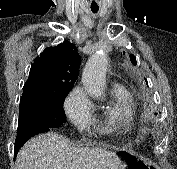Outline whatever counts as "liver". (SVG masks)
I'll return each instance as SVG.
<instances>
[{
	"label": "liver",
	"mask_w": 177,
	"mask_h": 169,
	"mask_svg": "<svg viewBox=\"0 0 177 169\" xmlns=\"http://www.w3.org/2000/svg\"><path fill=\"white\" fill-rule=\"evenodd\" d=\"M120 156L102 148H76L48 133L30 139L16 157V169H124Z\"/></svg>",
	"instance_id": "liver-1"
}]
</instances>
